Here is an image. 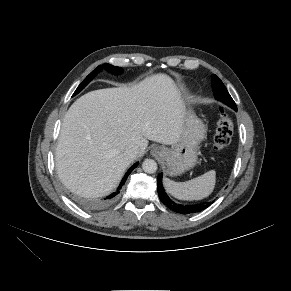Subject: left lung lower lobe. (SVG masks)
<instances>
[{"instance_id":"left-lung-lower-lobe-1","label":"left lung lower lobe","mask_w":291,"mask_h":291,"mask_svg":"<svg viewBox=\"0 0 291 291\" xmlns=\"http://www.w3.org/2000/svg\"><path fill=\"white\" fill-rule=\"evenodd\" d=\"M157 191L159 193L160 200L172 211H175L180 214H193L201 212L202 210L206 209L210 206L212 202H202L198 204H192V205H184V204H178L172 201L168 195L166 194L163 185H162V174L160 173L158 175V186Z\"/></svg>"}]
</instances>
